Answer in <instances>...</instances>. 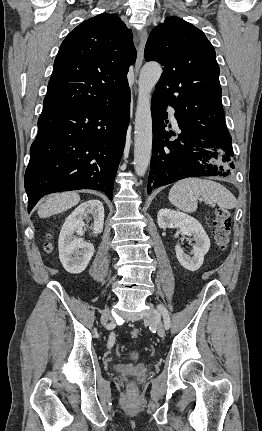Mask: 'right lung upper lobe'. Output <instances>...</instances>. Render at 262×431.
Here are the masks:
<instances>
[{"label":"right lung upper lobe","instance_id":"cb5924a9","mask_svg":"<svg viewBox=\"0 0 262 431\" xmlns=\"http://www.w3.org/2000/svg\"><path fill=\"white\" fill-rule=\"evenodd\" d=\"M136 60L132 33L114 14L103 13L72 30L54 61L43 109L96 107L129 89Z\"/></svg>","mask_w":262,"mask_h":431}]
</instances>
